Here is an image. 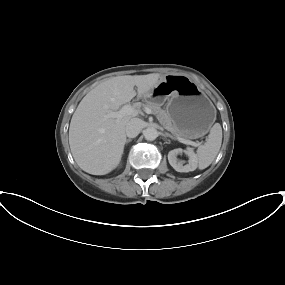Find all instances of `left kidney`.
Returning a JSON list of instances; mask_svg holds the SVG:
<instances>
[{"mask_svg": "<svg viewBox=\"0 0 285 285\" xmlns=\"http://www.w3.org/2000/svg\"><path fill=\"white\" fill-rule=\"evenodd\" d=\"M182 153H185L189 158L188 164L186 165H183V163L177 159V156ZM168 161L178 172H190L197 168V157L191 148L187 150H182L181 148L171 150L168 153Z\"/></svg>", "mask_w": 285, "mask_h": 285, "instance_id": "left-kidney-1", "label": "left kidney"}]
</instances>
